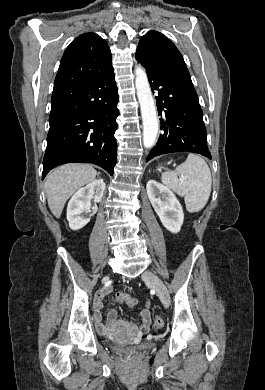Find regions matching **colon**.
<instances>
[{
  "label": "colon",
  "instance_id": "5ec220e1",
  "mask_svg": "<svg viewBox=\"0 0 265 390\" xmlns=\"http://www.w3.org/2000/svg\"><path fill=\"white\" fill-rule=\"evenodd\" d=\"M114 300L119 303H125L129 307L134 308L137 305V300L133 298L130 294L125 292H119L114 296ZM154 326L156 328H161L163 326V319L160 316L154 318Z\"/></svg>",
  "mask_w": 265,
  "mask_h": 390
}]
</instances>
